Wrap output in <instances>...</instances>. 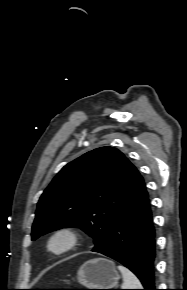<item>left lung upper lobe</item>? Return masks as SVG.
Returning <instances> with one entry per match:
<instances>
[{"label": "left lung upper lobe", "instance_id": "5c2ea615", "mask_svg": "<svg viewBox=\"0 0 187 290\" xmlns=\"http://www.w3.org/2000/svg\"><path fill=\"white\" fill-rule=\"evenodd\" d=\"M143 182L118 149L106 146L87 152L64 166L41 195L32 240L60 228L79 227L94 238L95 247L100 246Z\"/></svg>", "mask_w": 187, "mask_h": 290}]
</instances>
